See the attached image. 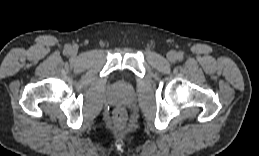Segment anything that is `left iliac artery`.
Wrapping results in <instances>:
<instances>
[{"label":"left iliac artery","instance_id":"1","mask_svg":"<svg viewBox=\"0 0 259 156\" xmlns=\"http://www.w3.org/2000/svg\"><path fill=\"white\" fill-rule=\"evenodd\" d=\"M177 58L179 59V60H182V58H183V53H178V56H177Z\"/></svg>","mask_w":259,"mask_h":156}]
</instances>
